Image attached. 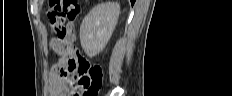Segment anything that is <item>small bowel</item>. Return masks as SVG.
Returning <instances> with one entry per match:
<instances>
[{"mask_svg":"<svg viewBox=\"0 0 232 96\" xmlns=\"http://www.w3.org/2000/svg\"><path fill=\"white\" fill-rule=\"evenodd\" d=\"M79 25H76L74 22H72L70 25H68V31L70 32V35H77V32H79ZM65 43H59L57 41H52L50 43L51 47L59 54L63 55L60 51L61 48L64 47ZM70 72H68V68L66 66V58L63 55L60 62L54 66L50 73H49V94L51 96H68V95H75V88L71 90L70 83H69V77L68 75ZM75 76V73H72Z\"/></svg>","mask_w":232,"mask_h":96,"instance_id":"c3829d8e","label":"small bowel"}]
</instances>
